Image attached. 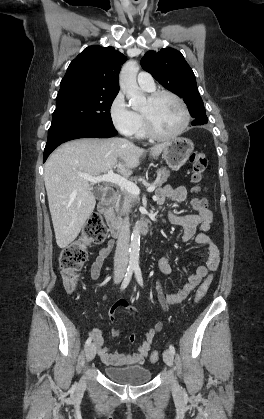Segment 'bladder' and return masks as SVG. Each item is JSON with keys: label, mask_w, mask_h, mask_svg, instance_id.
I'll return each mask as SVG.
<instances>
[{"label": "bladder", "mask_w": 264, "mask_h": 419, "mask_svg": "<svg viewBox=\"0 0 264 419\" xmlns=\"http://www.w3.org/2000/svg\"><path fill=\"white\" fill-rule=\"evenodd\" d=\"M103 371L111 381L122 385H142L152 377L151 371L143 366L105 367Z\"/></svg>", "instance_id": "bladder-1"}]
</instances>
